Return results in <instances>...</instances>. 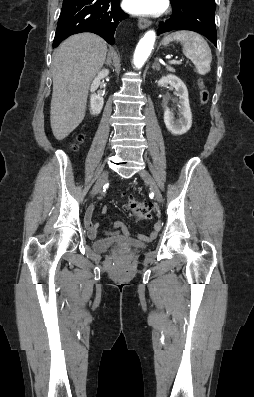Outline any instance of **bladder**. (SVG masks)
<instances>
[{"label": "bladder", "mask_w": 254, "mask_h": 397, "mask_svg": "<svg viewBox=\"0 0 254 397\" xmlns=\"http://www.w3.org/2000/svg\"><path fill=\"white\" fill-rule=\"evenodd\" d=\"M93 246L95 249L100 250V251H107L111 247V242L108 240H102V241H95L93 243ZM133 246L135 248H143L142 244L139 243H133Z\"/></svg>", "instance_id": "obj_1"}]
</instances>
